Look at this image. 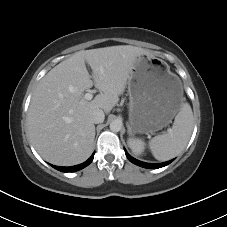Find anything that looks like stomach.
<instances>
[{
  "instance_id": "0dacf381",
  "label": "stomach",
  "mask_w": 227,
  "mask_h": 227,
  "mask_svg": "<svg viewBox=\"0 0 227 227\" xmlns=\"http://www.w3.org/2000/svg\"><path fill=\"white\" fill-rule=\"evenodd\" d=\"M129 124L134 133H153L167 126L183 103L180 79L168 64L150 54L136 58L128 80Z\"/></svg>"
}]
</instances>
